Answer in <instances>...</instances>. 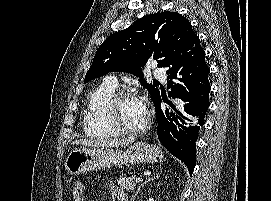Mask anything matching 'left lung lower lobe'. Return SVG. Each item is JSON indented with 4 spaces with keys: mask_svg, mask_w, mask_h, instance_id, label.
Masks as SVG:
<instances>
[{
    "mask_svg": "<svg viewBox=\"0 0 271 201\" xmlns=\"http://www.w3.org/2000/svg\"><path fill=\"white\" fill-rule=\"evenodd\" d=\"M169 96L179 98V109L161 108L160 92L153 98L157 117V134L162 145L187 166L192 175L196 163V141L209 107V68L198 36L178 43L168 65ZM174 80V81H173Z\"/></svg>",
    "mask_w": 271,
    "mask_h": 201,
    "instance_id": "left-lung-lower-lobe-1",
    "label": "left lung lower lobe"
}]
</instances>
